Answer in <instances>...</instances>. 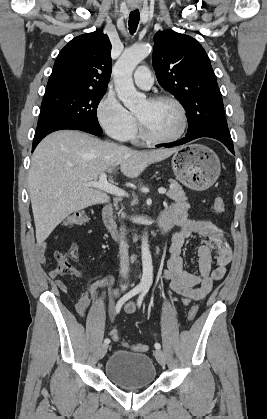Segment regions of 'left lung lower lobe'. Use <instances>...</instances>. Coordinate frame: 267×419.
<instances>
[{
	"label": "left lung lower lobe",
	"instance_id": "obj_1",
	"mask_svg": "<svg viewBox=\"0 0 267 419\" xmlns=\"http://www.w3.org/2000/svg\"><path fill=\"white\" fill-rule=\"evenodd\" d=\"M215 118L212 115H205L190 124L186 136L178 141L164 144V147H174L185 144L200 137H210L221 141L233 154V141L230 136L228 126L219 130H212Z\"/></svg>",
	"mask_w": 267,
	"mask_h": 419
}]
</instances>
